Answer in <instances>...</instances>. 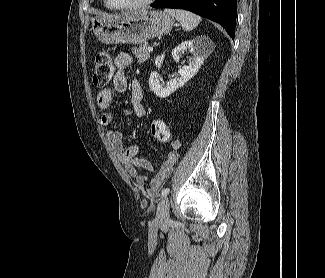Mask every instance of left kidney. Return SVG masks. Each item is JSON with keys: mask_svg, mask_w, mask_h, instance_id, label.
<instances>
[{"mask_svg": "<svg viewBox=\"0 0 325 278\" xmlns=\"http://www.w3.org/2000/svg\"><path fill=\"white\" fill-rule=\"evenodd\" d=\"M189 51L192 58L188 65L179 68L178 75L170 79L165 85L157 72H152L149 78L150 90L158 97L165 98L174 93L178 88L188 82L199 70L206 57V50L201 39L182 42L172 51L173 59L178 63L182 53Z\"/></svg>", "mask_w": 325, "mask_h": 278, "instance_id": "1", "label": "left kidney"}]
</instances>
